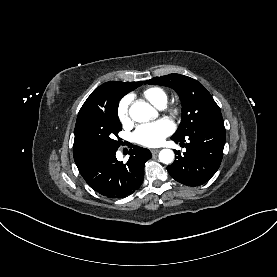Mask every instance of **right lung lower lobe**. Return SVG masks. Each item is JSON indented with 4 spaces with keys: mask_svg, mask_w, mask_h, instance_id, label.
Returning a JSON list of instances; mask_svg holds the SVG:
<instances>
[{
    "mask_svg": "<svg viewBox=\"0 0 277 277\" xmlns=\"http://www.w3.org/2000/svg\"><path fill=\"white\" fill-rule=\"evenodd\" d=\"M116 151L100 153L76 164L87 184L109 198H122L138 190L144 179L145 162L152 156L148 149L134 146L123 164L116 159Z\"/></svg>",
    "mask_w": 277,
    "mask_h": 277,
    "instance_id": "98d812e1",
    "label": "right lung lower lobe"
}]
</instances>
